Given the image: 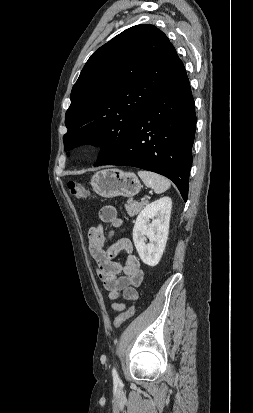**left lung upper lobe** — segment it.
Wrapping results in <instances>:
<instances>
[{"instance_id": "left-lung-upper-lobe-1", "label": "left lung upper lobe", "mask_w": 253, "mask_h": 413, "mask_svg": "<svg viewBox=\"0 0 253 413\" xmlns=\"http://www.w3.org/2000/svg\"><path fill=\"white\" fill-rule=\"evenodd\" d=\"M167 36L153 25L126 29L95 51L71 91L64 150L100 146L101 166L127 141L178 60Z\"/></svg>"}]
</instances>
